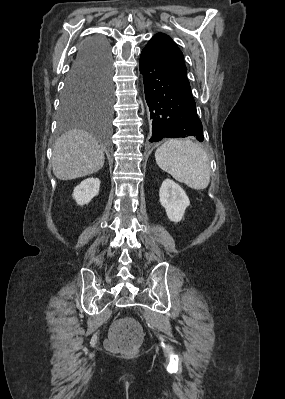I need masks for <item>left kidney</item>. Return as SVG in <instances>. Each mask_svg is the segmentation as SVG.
Masks as SVG:
<instances>
[{
  "mask_svg": "<svg viewBox=\"0 0 285 399\" xmlns=\"http://www.w3.org/2000/svg\"><path fill=\"white\" fill-rule=\"evenodd\" d=\"M160 204L172 222H180L190 201L185 191L173 180L165 179L159 191Z\"/></svg>",
  "mask_w": 285,
  "mask_h": 399,
  "instance_id": "1",
  "label": "left kidney"
}]
</instances>
